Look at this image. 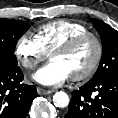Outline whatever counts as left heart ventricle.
I'll return each instance as SVG.
<instances>
[{
    "mask_svg": "<svg viewBox=\"0 0 118 118\" xmlns=\"http://www.w3.org/2000/svg\"><path fill=\"white\" fill-rule=\"evenodd\" d=\"M94 57L95 45L91 40H87L69 53L51 55V61L62 64L72 76L83 73L90 66Z\"/></svg>",
    "mask_w": 118,
    "mask_h": 118,
    "instance_id": "left-heart-ventricle-1",
    "label": "left heart ventricle"
}]
</instances>
